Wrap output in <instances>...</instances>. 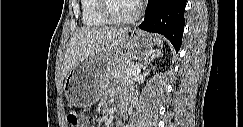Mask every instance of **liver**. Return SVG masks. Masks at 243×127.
<instances>
[{"mask_svg":"<svg viewBox=\"0 0 243 127\" xmlns=\"http://www.w3.org/2000/svg\"><path fill=\"white\" fill-rule=\"evenodd\" d=\"M128 28H85L77 31L67 46L62 68V78L87 57L103 51Z\"/></svg>","mask_w":243,"mask_h":127,"instance_id":"6515ba94","label":"liver"}]
</instances>
